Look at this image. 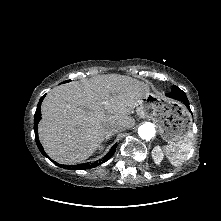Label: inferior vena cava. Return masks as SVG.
I'll use <instances>...</instances> for the list:
<instances>
[{
  "label": "inferior vena cava",
  "instance_id": "1",
  "mask_svg": "<svg viewBox=\"0 0 221 221\" xmlns=\"http://www.w3.org/2000/svg\"><path fill=\"white\" fill-rule=\"evenodd\" d=\"M124 129H125L124 126H119V125H116V124H109L105 128V132H106L107 135H111V134L120 132Z\"/></svg>",
  "mask_w": 221,
  "mask_h": 221
}]
</instances>
